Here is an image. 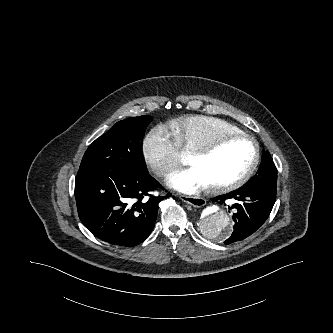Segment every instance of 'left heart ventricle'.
<instances>
[{"mask_svg":"<svg viewBox=\"0 0 333 333\" xmlns=\"http://www.w3.org/2000/svg\"><path fill=\"white\" fill-rule=\"evenodd\" d=\"M255 149L244 139L229 140L222 143L206 156H191L189 163L201 171L209 186L230 182L242 175L250 166Z\"/></svg>","mask_w":333,"mask_h":333,"instance_id":"obj_1","label":"left heart ventricle"}]
</instances>
